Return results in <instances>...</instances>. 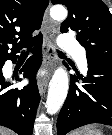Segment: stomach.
<instances>
[{
  "label": "stomach",
  "instance_id": "1",
  "mask_svg": "<svg viewBox=\"0 0 112 135\" xmlns=\"http://www.w3.org/2000/svg\"><path fill=\"white\" fill-rule=\"evenodd\" d=\"M84 135H103L102 132L93 127H87L82 130Z\"/></svg>",
  "mask_w": 112,
  "mask_h": 135
}]
</instances>
